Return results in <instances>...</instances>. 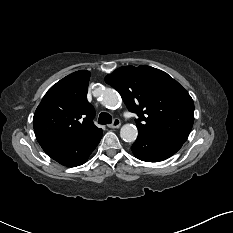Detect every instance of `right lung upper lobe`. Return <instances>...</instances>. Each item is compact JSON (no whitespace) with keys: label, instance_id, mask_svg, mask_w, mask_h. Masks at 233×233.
Segmentation results:
<instances>
[{"label":"right lung upper lobe","instance_id":"1","mask_svg":"<svg viewBox=\"0 0 233 233\" xmlns=\"http://www.w3.org/2000/svg\"><path fill=\"white\" fill-rule=\"evenodd\" d=\"M89 78V71L80 70L47 91L33 117L39 143L77 142L101 131L92 121L94 108L86 98Z\"/></svg>","mask_w":233,"mask_h":233}]
</instances>
